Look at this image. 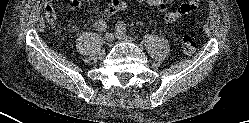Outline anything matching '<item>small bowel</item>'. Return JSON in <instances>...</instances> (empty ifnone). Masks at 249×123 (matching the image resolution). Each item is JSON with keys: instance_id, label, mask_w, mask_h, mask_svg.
I'll return each mask as SVG.
<instances>
[{"instance_id": "1", "label": "small bowel", "mask_w": 249, "mask_h": 123, "mask_svg": "<svg viewBox=\"0 0 249 123\" xmlns=\"http://www.w3.org/2000/svg\"><path fill=\"white\" fill-rule=\"evenodd\" d=\"M140 3H146L148 6L158 9L164 14V18L167 22H176L183 18L185 15L194 11L200 0H190L182 3L175 9H170L165 0H136ZM54 0H44V16L50 22L54 23L57 19V15L54 10ZM81 6L80 0H71L70 8L72 10L78 9ZM128 6L127 0H110L109 5L102 10L101 15L109 17L114 13L126 9Z\"/></svg>"}]
</instances>
